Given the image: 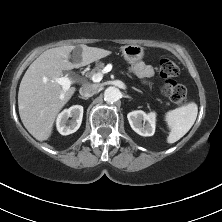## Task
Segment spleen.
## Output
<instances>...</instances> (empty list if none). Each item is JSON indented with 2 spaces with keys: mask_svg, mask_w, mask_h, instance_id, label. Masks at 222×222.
Wrapping results in <instances>:
<instances>
[{
  "mask_svg": "<svg viewBox=\"0 0 222 222\" xmlns=\"http://www.w3.org/2000/svg\"><path fill=\"white\" fill-rule=\"evenodd\" d=\"M198 114V106L190 102L179 108L170 110L165 115V121L170 129L168 143L181 139L193 126Z\"/></svg>",
  "mask_w": 222,
  "mask_h": 222,
  "instance_id": "obj_1",
  "label": "spleen"
}]
</instances>
